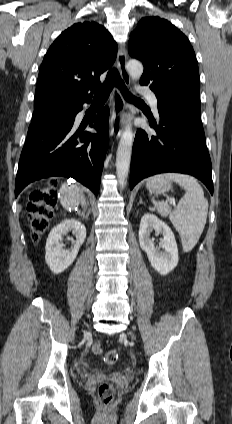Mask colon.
I'll return each instance as SVG.
<instances>
[{
	"instance_id": "5ec220e1",
	"label": "colon",
	"mask_w": 232,
	"mask_h": 424,
	"mask_svg": "<svg viewBox=\"0 0 232 424\" xmlns=\"http://www.w3.org/2000/svg\"><path fill=\"white\" fill-rule=\"evenodd\" d=\"M56 199L57 193L53 188L35 189L29 193L26 208L34 241H37L39 235L48 228L53 217ZM117 359L116 350L109 351L104 358L108 365L114 364ZM98 396L104 405H108L115 396L114 386L107 382L100 384Z\"/></svg>"
}]
</instances>
